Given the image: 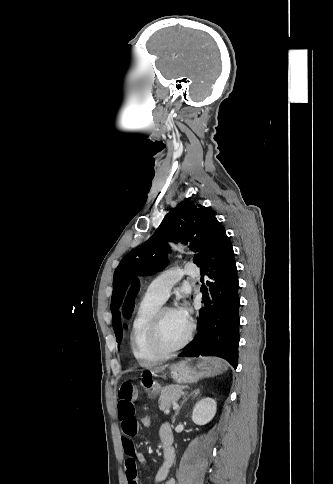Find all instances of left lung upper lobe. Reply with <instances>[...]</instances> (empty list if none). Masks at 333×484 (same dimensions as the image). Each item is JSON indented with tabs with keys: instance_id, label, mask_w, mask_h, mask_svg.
<instances>
[{
	"instance_id": "obj_1",
	"label": "left lung upper lobe",
	"mask_w": 333,
	"mask_h": 484,
	"mask_svg": "<svg viewBox=\"0 0 333 484\" xmlns=\"http://www.w3.org/2000/svg\"><path fill=\"white\" fill-rule=\"evenodd\" d=\"M215 213L208 207L184 201L172 209L162 223L142 245L129 252L114 272L111 311L113 328L117 342L122 339L120 312L118 311L126 289L138 275H151L167 265V241L190 243V247L199 253L204 247L208 227Z\"/></svg>"
}]
</instances>
